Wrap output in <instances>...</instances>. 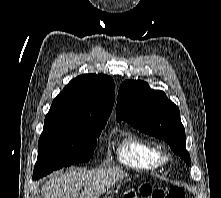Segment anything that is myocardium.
Masks as SVG:
<instances>
[{
  "mask_svg": "<svg viewBox=\"0 0 221 198\" xmlns=\"http://www.w3.org/2000/svg\"><path fill=\"white\" fill-rule=\"evenodd\" d=\"M157 155L161 163H167L171 159L169 151L161 146H157Z\"/></svg>",
  "mask_w": 221,
  "mask_h": 198,
  "instance_id": "myocardium-1",
  "label": "myocardium"
}]
</instances>
